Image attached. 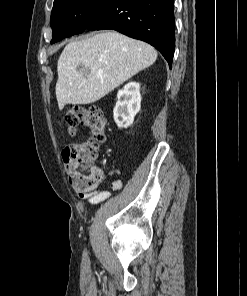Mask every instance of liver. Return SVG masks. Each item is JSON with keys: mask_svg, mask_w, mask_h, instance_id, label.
<instances>
[{"mask_svg": "<svg viewBox=\"0 0 247 296\" xmlns=\"http://www.w3.org/2000/svg\"><path fill=\"white\" fill-rule=\"evenodd\" d=\"M157 51L116 31H103L68 43L57 64L56 98L66 104H90L151 66Z\"/></svg>", "mask_w": 247, "mask_h": 296, "instance_id": "1", "label": "liver"}]
</instances>
